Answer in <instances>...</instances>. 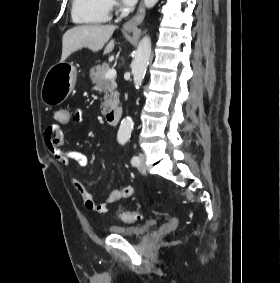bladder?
<instances>
[{
  "label": "bladder",
  "mask_w": 280,
  "mask_h": 283,
  "mask_svg": "<svg viewBox=\"0 0 280 283\" xmlns=\"http://www.w3.org/2000/svg\"><path fill=\"white\" fill-rule=\"evenodd\" d=\"M158 224V219H152L141 225H114L108 228V232L112 235L138 240L152 232Z\"/></svg>",
  "instance_id": "31cf9c89"
}]
</instances>
